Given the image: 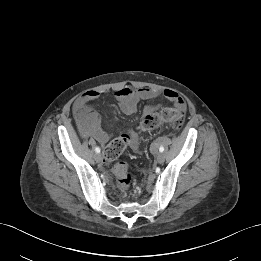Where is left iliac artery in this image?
Returning a JSON list of instances; mask_svg holds the SVG:
<instances>
[{
  "label": "left iliac artery",
  "mask_w": 261,
  "mask_h": 261,
  "mask_svg": "<svg viewBox=\"0 0 261 261\" xmlns=\"http://www.w3.org/2000/svg\"><path fill=\"white\" fill-rule=\"evenodd\" d=\"M159 151H160V152H163V151H164V147H163V146H160V147H159Z\"/></svg>",
  "instance_id": "left-iliac-artery-1"
}]
</instances>
